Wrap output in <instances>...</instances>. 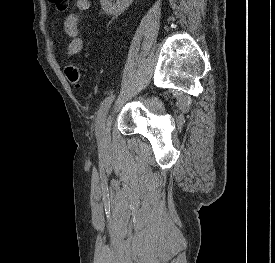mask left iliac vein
Masks as SVG:
<instances>
[{
    "mask_svg": "<svg viewBox=\"0 0 275 263\" xmlns=\"http://www.w3.org/2000/svg\"><path fill=\"white\" fill-rule=\"evenodd\" d=\"M111 121H112V113H109L104 118L102 128H101V140H102V142H107V140H108V133H109L110 126H111Z\"/></svg>",
    "mask_w": 275,
    "mask_h": 263,
    "instance_id": "obj_1",
    "label": "left iliac vein"
}]
</instances>
